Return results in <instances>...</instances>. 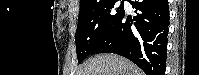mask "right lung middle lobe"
Here are the masks:
<instances>
[{"label":"right lung middle lobe","mask_w":199,"mask_h":75,"mask_svg":"<svg viewBox=\"0 0 199 75\" xmlns=\"http://www.w3.org/2000/svg\"><path fill=\"white\" fill-rule=\"evenodd\" d=\"M108 0L79 13L75 34L78 62L94 54L116 28L124 14V0Z\"/></svg>","instance_id":"obj_1"}]
</instances>
